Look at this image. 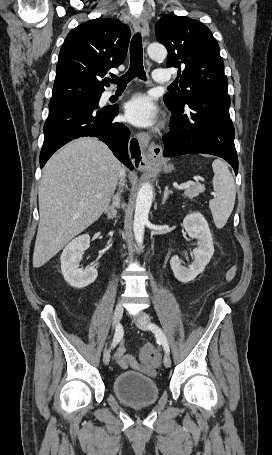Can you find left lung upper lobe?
<instances>
[{
	"label": "left lung upper lobe",
	"instance_id": "1",
	"mask_svg": "<svg viewBox=\"0 0 272 455\" xmlns=\"http://www.w3.org/2000/svg\"><path fill=\"white\" fill-rule=\"evenodd\" d=\"M158 42L168 50L167 67L178 68L181 90L164 95L165 103L184 106L201 95H228L219 45L198 20L166 15L155 26Z\"/></svg>",
	"mask_w": 272,
	"mask_h": 455
}]
</instances>
